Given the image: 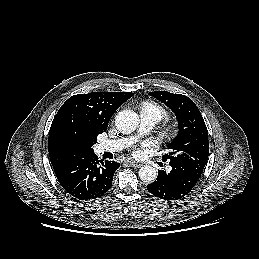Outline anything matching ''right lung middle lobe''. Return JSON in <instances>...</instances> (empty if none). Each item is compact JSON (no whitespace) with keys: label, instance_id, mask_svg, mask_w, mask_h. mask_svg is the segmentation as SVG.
Instances as JSON below:
<instances>
[{"label":"right lung middle lobe","instance_id":"dd1d6c3e","mask_svg":"<svg viewBox=\"0 0 259 259\" xmlns=\"http://www.w3.org/2000/svg\"><path fill=\"white\" fill-rule=\"evenodd\" d=\"M96 138H86L73 130H64L56 138V154L60 158L93 152Z\"/></svg>","mask_w":259,"mask_h":259}]
</instances>
